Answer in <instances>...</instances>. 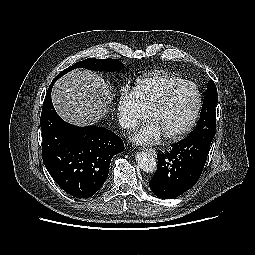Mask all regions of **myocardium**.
Segmentation results:
<instances>
[{"mask_svg": "<svg viewBox=\"0 0 255 255\" xmlns=\"http://www.w3.org/2000/svg\"><path fill=\"white\" fill-rule=\"evenodd\" d=\"M187 86H193L196 89L197 92L196 108L190 121L186 124L185 127H183L181 130L175 133L164 135L165 139L169 142H177L182 140L194 128L202 109V93L199 86L192 81H184L183 83L179 84L178 86L168 91L149 111V118L151 119L156 113L161 111L179 91H181Z\"/></svg>", "mask_w": 255, "mask_h": 255, "instance_id": "obj_1", "label": "myocardium"}]
</instances>
